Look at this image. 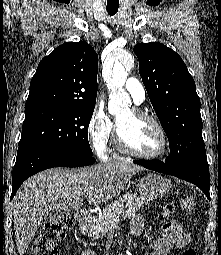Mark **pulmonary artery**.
<instances>
[{"label":"pulmonary artery","mask_w":221,"mask_h":255,"mask_svg":"<svg viewBox=\"0 0 221 255\" xmlns=\"http://www.w3.org/2000/svg\"><path fill=\"white\" fill-rule=\"evenodd\" d=\"M125 89L131 95L136 104H141L146 97V92L142 83L135 79L129 78L125 82Z\"/></svg>","instance_id":"pulmonary-artery-1"}]
</instances>
